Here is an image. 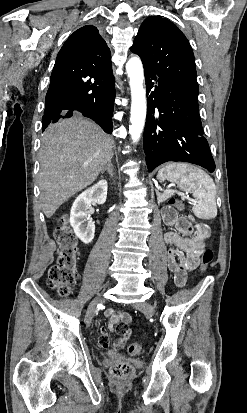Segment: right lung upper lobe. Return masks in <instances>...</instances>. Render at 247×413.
Wrapping results in <instances>:
<instances>
[{"mask_svg":"<svg viewBox=\"0 0 247 413\" xmlns=\"http://www.w3.org/2000/svg\"><path fill=\"white\" fill-rule=\"evenodd\" d=\"M112 69L110 50L93 25L75 31L60 49L54 71L100 73Z\"/></svg>","mask_w":247,"mask_h":413,"instance_id":"1","label":"right lung upper lobe"}]
</instances>
